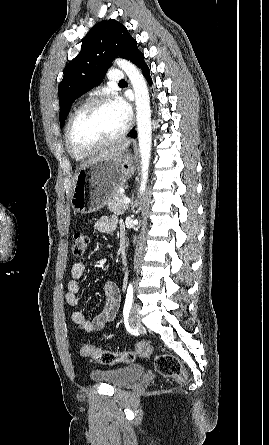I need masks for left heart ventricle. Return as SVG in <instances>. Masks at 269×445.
Wrapping results in <instances>:
<instances>
[{
  "label": "left heart ventricle",
  "instance_id": "1",
  "mask_svg": "<svg viewBox=\"0 0 269 445\" xmlns=\"http://www.w3.org/2000/svg\"><path fill=\"white\" fill-rule=\"evenodd\" d=\"M126 122L112 103L95 106L73 123L71 140L80 148H91L122 131Z\"/></svg>",
  "mask_w": 269,
  "mask_h": 445
}]
</instances>
